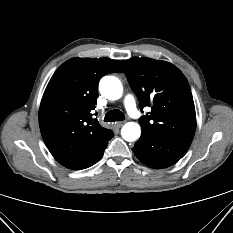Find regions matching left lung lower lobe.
I'll return each mask as SVG.
<instances>
[{
  "instance_id": "obj_1",
  "label": "left lung lower lobe",
  "mask_w": 233,
  "mask_h": 233,
  "mask_svg": "<svg viewBox=\"0 0 233 233\" xmlns=\"http://www.w3.org/2000/svg\"><path fill=\"white\" fill-rule=\"evenodd\" d=\"M192 141L177 140L142 132L133 148L136 157L155 169L166 168L179 161Z\"/></svg>"
}]
</instances>
